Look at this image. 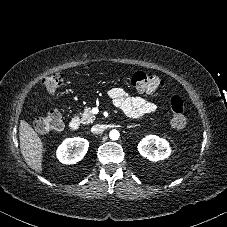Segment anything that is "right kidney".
I'll use <instances>...</instances> for the list:
<instances>
[{
	"label": "right kidney",
	"instance_id": "ca27d5eb",
	"mask_svg": "<svg viewBox=\"0 0 227 227\" xmlns=\"http://www.w3.org/2000/svg\"><path fill=\"white\" fill-rule=\"evenodd\" d=\"M88 140L80 137L68 138L57 149V158L63 164H75L85 156Z\"/></svg>",
	"mask_w": 227,
	"mask_h": 227
}]
</instances>
